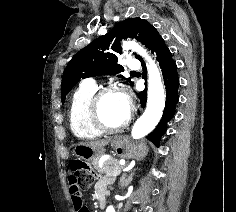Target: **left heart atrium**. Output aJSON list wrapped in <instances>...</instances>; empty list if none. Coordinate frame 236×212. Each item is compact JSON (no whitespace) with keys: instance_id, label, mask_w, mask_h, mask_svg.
<instances>
[{"instance_id":"left-heart-atrium-1","label":"left heart atrium","mask_w":236,"mask_h":212,"mask_svg":"<svg viewBox=\"0 0 236 212\" xmlns=\"http://www.w3.org/2000/svg\"><path fill=\"white\" fill-rule=\"evenodd\" d=\"M125 97V96H124ZM125 99H126V103H127V105H128V99L125 97Z\"/></svg>"}]
</instances>
